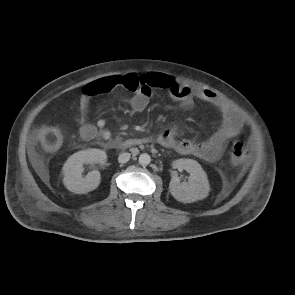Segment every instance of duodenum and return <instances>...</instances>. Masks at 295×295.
<instances>
[{
  "label": "duodenum",
  "mask_w": 295,
  "mask_h": 295,
  "mask_svg": "<svg viewBox=\"0 0 295 295\" xmlns=\"http://www.w3.org/2000/svg\"><path fill=\"white\" fill-rule=\"evenodd\" d=\"M146 140L143 139H132L127 141H117L112 140L105 143V146L109 149H127L130 147L138 146L140 144L145 143Z\"/></svg>",
  "instance_id": "obj_1"
}]
</instances>
